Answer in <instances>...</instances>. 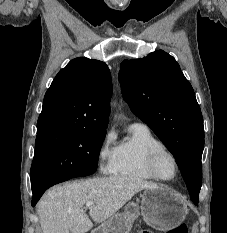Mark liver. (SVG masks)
Returning a JSON list of instances; mask_svg holds the SVG:
<instances>
[{"mask_svg": "<svg viewBox=\"0 0 227 233\" xmlns=\"http://www.w3.org/2000/svg\"><path fill=\"white\" fill-rule=\"evenodd\" d=\"M159 186L138 178L110 176L66 183L48 191L37 205L43 233H86L104 223L142 190ZM92 201L89 216L83 206Z\"/></svg>", "mask_w": 227, "mask_h": 233, "instance_id": "1", "label": "liver"}]
</instances>
